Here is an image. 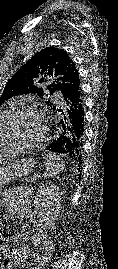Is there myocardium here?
<instances>
[{
    "label": "myocardium",
    "instance_id": "1",
    "mask_svg": "<svg viewBox=\"0 0 118 269\" xmlns=\"http://www.w3.org/2000/svg\"><path fill=\"white\" fill-rule=\"evenodd\" d=\"M28 112H38V111L32 106L24 105L8 112L3 121L0 123V145L2 146L3 150H19V151L30 150L40 146L44 142L48 133V122L46 117L41 112L38 113L41 114L45 122V128L43 135L39 140H37L36 142H23L19 140H14L8 135V131L11 125L14 123V121Z\"/></svg>",
    "mask_w": 118,
    "mask_h": 269
}]
</instances>
